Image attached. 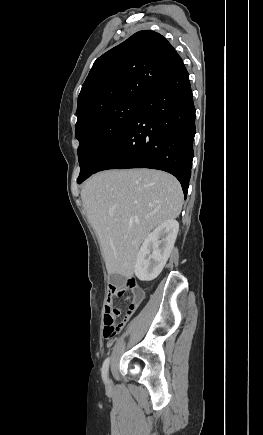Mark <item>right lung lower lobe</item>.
Masks as SVG:
<instances>
[{"mask_svg": "<svg viewBox=\"0 0 263 435\" xmlns=\"http://www.w3.org/2000/svg\"><path fill=\"white\" fill-rule=\"evenodd\" d=\"M195 130L189 74L183 66L143 101L95 173L127 168L163 170L179 180L186 199Z\"/></svg>", "mask_w": 263, "mask_h": 435, "instance_id": "right-lung-lower-lobe-1", "label": "right lung lower lobe"}]
</instances>
